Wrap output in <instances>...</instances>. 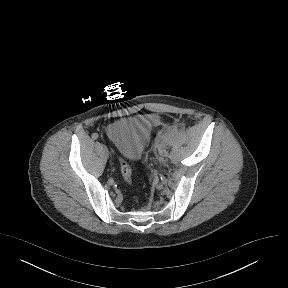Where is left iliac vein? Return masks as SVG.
I'll list each match as a JSON object with an SVG mask.
<instances>
[{
  "mask_svg": "<svg viewBox=\"0 0 288 288\" xmlns=\"http://www.w3.org/2000/svg\"><path fill=\"white\" fill-rule=\"evenodd\" d=\"M161 153L163 156L166 154V144L165 143L162 145Z\"/></svg>",
  "mask_w": 288,
  "mask_h": 288,
  "instance_id": "4c4485c4",
  "label": "left iliac vein"
}]
</instances>
